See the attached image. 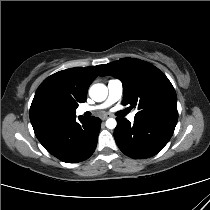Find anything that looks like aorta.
Returning a JSON list of instances; mask_svg holds the SVG:
<instances>
[{"mask_svg":"<svg viewBox=\"0 0 210 210\" xmlns=\"http://www.w3.org/2000/svg\"><path fill=\"white\" fill-rule=\"evenodd\" d=\"M90 97L96 102H102L107 98L108 89L104 84L98 83L91 86L89 90ZM117 122L114 118H109L106 121V127L109 129H114Z\"/></svg>","mask_w":210,"mask_h":210,"instance_id":"obj_1","label":"aorta"}]
</instances>
